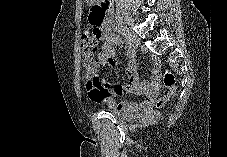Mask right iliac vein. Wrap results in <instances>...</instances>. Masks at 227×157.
I'll use <instances>...</instances> for the list:
<instances>
[{
    "mask_svg": "<svg viewBox=\"0 0 227 157\" xmlns=\"http://www.w3.org/2000/svg\"><path fill=\"white\" fill-rule=\"evenodd\" d=\"M123 35L126 37L125 41L129 43L130 47H135V46L139 45V43H140L139 39L132 33L123 29Z\"/></svg>",
    "mask_w": 227,
    "mask_h": 157,
    "instance_id": "right-iliac-vein-1",
    "label": "right iliac vein"
}]
</instances>
